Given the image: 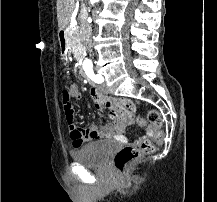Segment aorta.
I'll list each match as a JSON object with an SVG mask.
<instances>
[{
    "mask_svg": "<svg viewBox=\"0 0 217 202\" xmlns=\"http://www.w3.org/2000/svg\"><path fill=\"white\" fill-rule=\"evenodd\" d=\"M92 6H94V4H96V2H98V0H90Z\"/></svg>",
    "mask_w": 217,
    "mask_h": 202,
    "instance_id": "762f6f07",
    "label": "aorta"
}]
</instances>
